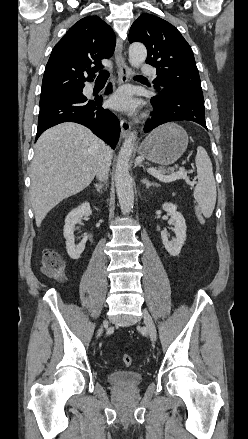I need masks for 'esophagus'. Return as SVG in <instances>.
I'll use <instances>...</instances> for the list:
<instances>
[{"mask_svg":"<svg viewBox=\"0 0 248 439\" xmlns=\"http://www.w3.org/2000/svg\"><path fill=\"white\" fill-rule=\"evenodd\" d=\"M115 63L118 74V81L120 84H125L129 81L130 69L123 57V41L118 38L115 47ZM121 136L126 138L131 130V124L124 118L120 119Z\"/></svg>","mask_w":248,"mask_h":439,"instance_id":"34e87169","label":"esophagus"}]
</instances>
